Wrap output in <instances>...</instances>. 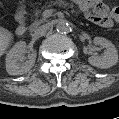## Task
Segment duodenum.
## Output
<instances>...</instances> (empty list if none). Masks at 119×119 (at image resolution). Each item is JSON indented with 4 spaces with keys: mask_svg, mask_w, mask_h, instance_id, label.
<instances>
[{
    "mask_svg": "<svg viewBox=\"0 0 119 119\" xmlns=\"http://www.w3.org/2000/svg\"><path fill=\"white\" fill-rule=\"evenodd\" d=\"M23 17H24L23 10H19L17 12V19H18L19 24H18V26L16 28V35L18 37H23L25 35V33H26V26L24 24Z\"/></svg>",
    "mask_w": 119,
    "mask_h": 119,
    "instance_id": "410a0bca",
    "label": "duodenum"
}]
</instances>
